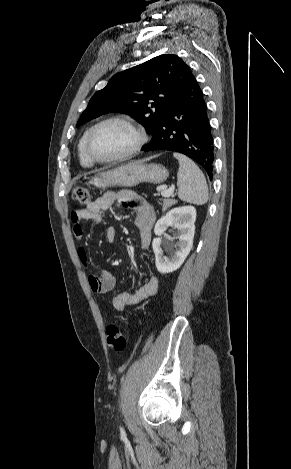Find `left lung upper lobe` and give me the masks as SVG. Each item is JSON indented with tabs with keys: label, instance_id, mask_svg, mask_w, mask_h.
Returning a JSON list of instances; mask_svg holds the SVG:
<instances>
[{
	"label": "left lung upper lobe",
	"instance_id": "5c2ea615",
	"mask_svg": "<svg viewBox=\"0 0 291 469\" xmlns=\"http://www.w3.org/2000/svg\"><path fill=\"white\" fill-rule=\"evenodd\" d=\"M191 75L189 66L173 54L157 56L117 73L90 99L77 127L102 114L123 111L153 135Z\"/></svg>",
	"mask_w": 291,
	"mask_h": 469
}]
</instances>
